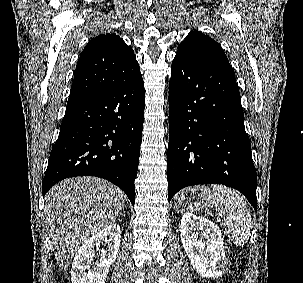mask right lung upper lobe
<instances>
[{"label":"right lung upper lobe","mask_w":303,"mask_h":283,"mask_svg":"<svg viewBox=\"0 0 303 283\" xmlns=\"http://www.w3.org/2000/svg\"><path fill=\"white\" fill-rule=\"evenodd\" d=\"M141 77L134 51L119 36L91 39L80 54L67 105L125 87Z\"/></svg>","instance_id":"cb5924a9"}]
</instances>
